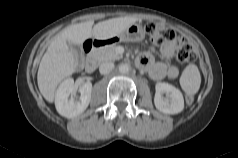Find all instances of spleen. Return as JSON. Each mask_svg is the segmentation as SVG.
I'll return each mask as SVG.
<instances>
[{"label": "spleen", "instance_id": "1", "mask_svg": "<svg viewBox=\"0 0 238 158\" xmlns=\"http://www.w3.org/2000/svg\"><path fill=\"white\" fill-rule=\"evenodd\" d=\"M180 84L184 91L195 94L200 88L201 76L195 64H189L183 71Z\"/></svg>", "mask_w": 238, "mask_h": 158}]
</instances>
